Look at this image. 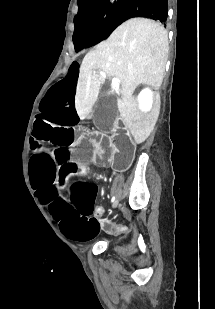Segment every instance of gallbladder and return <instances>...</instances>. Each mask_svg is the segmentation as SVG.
I'll list each match as a JSON object with an SVG mask.
<instances>
[{"label":"gallbladder","mask_w":215,"mask_h":309,"mask_svg":"<svg viewBox=\"0 0 215 309\" xmlns=\"http://www.w3.org/2000/svg\"><path fill=\"white\" fill-rule=\"evenodd\" d=\"M96 106L95 122H98V125L111 126L110 122L116 118L118 110L115 92H105L98 98ZM101 130H107V127H101Z\"/></svg>","instance_id":"1"}]
</instances>
